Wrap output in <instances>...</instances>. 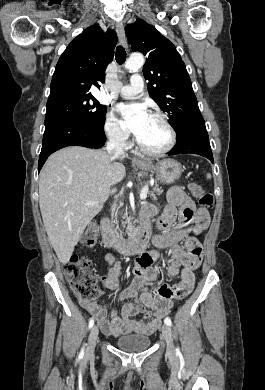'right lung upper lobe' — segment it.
Segmentation results:
<instances>
[{"mask_svg": "<svg viewBox=\"0 0 265 390\" xmlns=\"http://www.w3.org/2000/svg\"><path fill=\"white\" fill-rule=\"evenodd\" d=\"M117 35L106 33L99 25L90 26L72 40L56 65L49 99L71 95L91 94V86L100 88L107 65L113 59Z\"/></svg>", "mask_w": 265, "mask_h": 390, "instance_id": "cb5924a9", "label": "right lung upper lobe"}]
</instances>
